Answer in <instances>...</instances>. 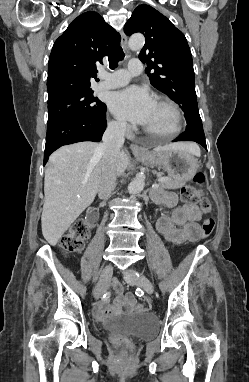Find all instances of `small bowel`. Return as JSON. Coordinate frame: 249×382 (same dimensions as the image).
<instances>
[{
	"label": "small bowel",
	"instance_id": "1",
	"mask_svg": "<svg viewBox=\"0 0 249 382\" xmlns=\"http://www.w3.org/2000/svg\"><path fill=\"white\" fill-rule=\"evenodd\" d=\"M158 204L172 208L170 215H162L157 220V229L165 239L182 243L185 241H196L200 237V226L202 212L195 205H177L174 194L165 193L156 197ZM115 296L112 303L105 299L98 303L97 312L99 315L116 314L120 312H131L135 303L133 295L123 294V287L120 282L112 283Z\"/></svg>",
	"mask_w": 249,
	"mask_h": 382
}]
</instances>
